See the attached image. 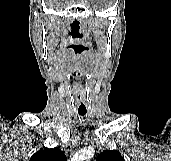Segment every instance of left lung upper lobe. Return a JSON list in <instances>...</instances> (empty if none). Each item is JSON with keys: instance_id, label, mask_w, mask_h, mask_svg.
<instances>
[{"instance_id": "left-lung-upper-lobe-1", "label": "left lung upper lobe", "mask_w": 171, "mask_h": 161, "mask_svg": "<svg viewBox=\"0 0 171 161\" xmlns=\"http://www.w3.org/2000/svg\"><path fill=\"white\" fill-rule=\"evenodd\" d=\"M97 161H125L121 154L117 151L106 150L100 153Z\"/></svg>"}]
</instances>
